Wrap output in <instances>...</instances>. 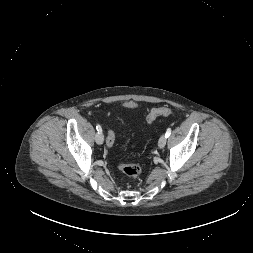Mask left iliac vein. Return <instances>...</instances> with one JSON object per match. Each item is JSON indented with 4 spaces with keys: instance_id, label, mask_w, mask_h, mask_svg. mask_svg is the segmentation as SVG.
I'll return each instance as SVG.
<instances>
[{
    "instance_id": "obj_1",
    "label": "left iliac vein",
    "mask_w": 253,
    "mask_h": 253,
    "mask_svg": "<svg viewBox=\"0 0 253 253\" xmlns=\"http://www.w3.org/2000/svg\"><path fill=\"white\" fill-rule=\"evenodd\" d=\"M166 136L162 135L158 141V146L159 148H164V146L166 145Z\"/></svg>"
}]
</instances>
